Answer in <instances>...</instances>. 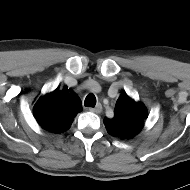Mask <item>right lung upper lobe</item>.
Listing matches in <instances>:
<instances>
[{
  "label": "right lung upper lobe",
  "mask_w": 190,
  "mask_h": 190,
  "mask_svg": "<svg viewBox=\"0 0 190 190\" xmlns=\"http://www.w3.org/2000/svg\"><path fill=\"white\" fill-rule=\"evenodd\" d=\"M82 110L80 98L66 86L41 96L34 105L33 113L38 124L52 133L68 130L74 117Z\"/></svg>",
  "instance_id": "cb5924a9"
}]
</instances>
